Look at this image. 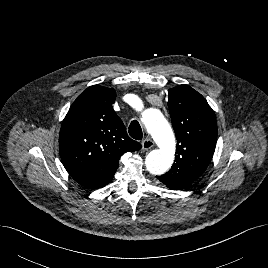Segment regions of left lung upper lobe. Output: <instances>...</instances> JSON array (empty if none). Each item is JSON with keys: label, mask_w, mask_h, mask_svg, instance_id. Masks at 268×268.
Instances as JSON below:
<instances>
[{"label": "left lung upper lobe", "mask_w": 268, "mask_h": 268, "mask_svg": "<svg viewBox=\"0 0 268 268\" xmlns=\"http://www.w3.org/2000/svg\"><path fill=\"white\" fill-rule=\"evenodd\" d=\"M168 107L177 139L175 162L157 178L170 189H181L207 169L215 150L217 123L205 98L187 85L168 90Z\"/></svg>", "instance_id": "5c2ea615"}]
</instances>
